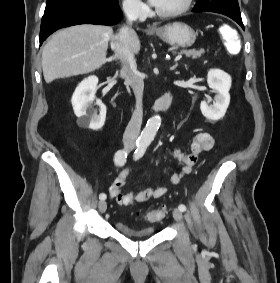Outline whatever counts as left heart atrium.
I'll use <instances>...</instances> for the list:
<instances>
[{"label": "left heart atrium", "instance_id": "obj_1", "mask_svg": "<svg viewBox=\"0 0 280 283\" xmlns=\"http://www.w3.org/2000/svg\"><path fill=\"white\" fill-rule=\"evenodd\" d=\"M149 1V3L151 4V5H153V6H157L158 4H159V2H160V0H148Z\"/></svg>", "mask_w": 280, "mask_h": 283}]
</instances>
